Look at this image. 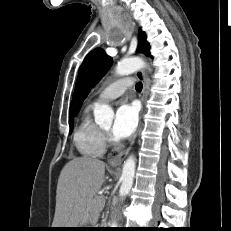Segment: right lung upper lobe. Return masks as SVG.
Masks as SVG:
<instances>
[{"mask_svg":"<svg viewBox=\"0 0 231 231\" xmlns=\"http://www.w3.org/2000/svg\"><path fill=\"white\" fill-rule=\"evenodd\" d=\"M72 118V116H71V108H70V117H69V119H71Z\"/></svg>","mask_w":231,"mask_h":231,"instance_id":"1","label":"right lung upper lobe"}]
</instances>
